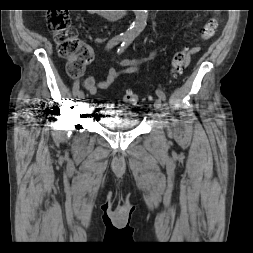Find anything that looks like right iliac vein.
Wrapping results in <instances>:
<instances>
[{
	"instance_id": "63e3f726",
	"label": "right iliac vein",
	"mask_w": 253,
	"mask_h": 253,
	"mask_svg": "<svg viewBox=\"0 0 253 253\" xmlns=\"http://www.w3.org/2000/svg\"><path fill=\"white\" fill-rule=\"evenodd\" d=\"M84 98V93L83 91H80L78 93V98H77V107H80L81 103H82V99Z\"/></svg>"
}]
</instances>
